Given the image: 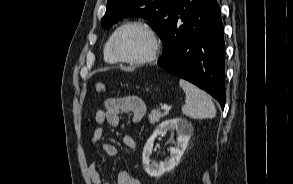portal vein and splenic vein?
Segmentation results:
<instances>
[{"mask_svg": "<svg viewBox=\"0 0 293 184\" xmlns=\"http://www.w3.org/2000/svg\"><path fill=\"white\" fill-rule=\"evenodd\" d=\"M161 108H162L163 110H168V105L164 104V105H162Z\"/></svg>", "mask_w": 293, "mask_h": 184, "instance_id": "18ae733b", "label": "portal vein and splenic vein"}]
</instances>
